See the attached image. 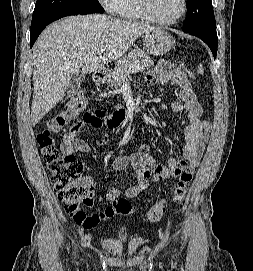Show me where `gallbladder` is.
Listing matches in <instances>:
<instances>
[{
	"label": "gallbladder",
	"instance_id": "gallbladder-1",
	"mask_svg": "<svg viewBox=\"0 0 253 271\" xmlns=\"http://www.w3.org/2000/svg\"><path fill=\"white\" fill-rule=\"evenodd\" d=\"M85 75L84 73L78 72L76 73L68 83L66 87L67 94L72 95L78 91L81 83L84 81Z\"/></svg>",
	"mask_w": 253,
	"mask_h": 271
}]
</instances>
